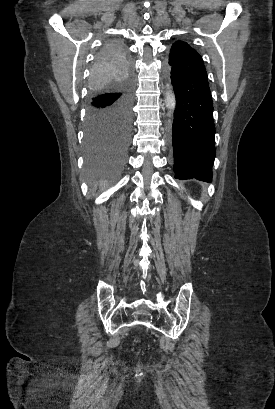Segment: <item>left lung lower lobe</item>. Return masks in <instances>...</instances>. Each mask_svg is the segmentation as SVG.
I'll return each mask as SVG.
<instances>
[{
	"instance_id": "left-lung-lower-lobe-1",
	"label": "left lung lower lobe",
	"mask_w": 275,
	"mask_h": 409,
	"mask_svg": "<svg viewBox=\"0 0 275 409\" xmlns=\"http://www.w3.org/2000/svg\"><path fill=\"white\" fill-rule=\"evenodd\" d=\"M171 81L176 96L172 126L175 178L211 182L215 124L208 81L173 68Z\"/></svg>"
}]
</instances>
